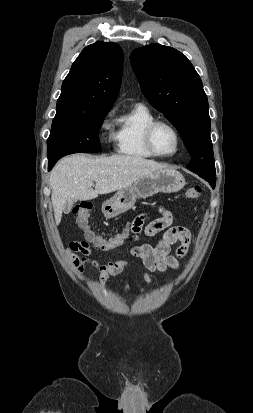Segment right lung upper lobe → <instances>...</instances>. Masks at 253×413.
I'll return each mask as SVG.
<instances>
[{
    "label": "right lung upper lobe",
    "mask_w": 253,
    "mask_h": 413,
    "mask_svg": "<svg viewBox=\"0 0 253 413\" xmlns=\"http://www.w3.org/2000/svg\"><path fill=\"white\" fill-rule=\"evenodd\" d=\"M123 51L97 41L83 49L62 84L55 117L110 110L121 85Z\"/></svg>",
    "instance_id": "cb5924a9"
}]
</instances>
